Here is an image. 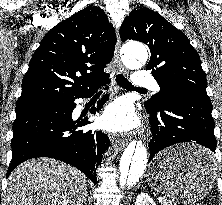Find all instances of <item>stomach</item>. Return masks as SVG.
Segmentation results:
<instances>
[{
	"mask_svg": "<svg viewBox=\"0 0 222 205\" xmlns=\"http://www.w3.org/2000/svg\"><path fill=\"white\" fill-rule=\"evenodd\" d=\"M205 152L204 148L191 144L162 151L149 164L148 185L163 195L195 205L208 194L216 178L212 164L191 160L194 154Z\"/></svg>",
	"mask_w": 222,
	"mask_h": 205,
	"instance_id": "1",
	"label": "stomach"
}]
</instances>
